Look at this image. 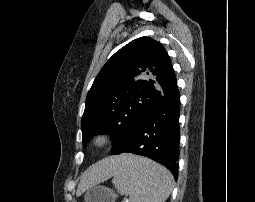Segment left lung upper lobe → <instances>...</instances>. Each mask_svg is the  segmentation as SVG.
Masks as SVG:
<instances>
[{"mask_svg":"<svg viewBox=\"0 0 255 202\" xmlns=\"http://www.w3.org/2000/svg\"><path fill=\"white\" fill-rule=\"evenodd\" d=\"M178 89L161 43L137 38L117 51L95 78L81 120L83 142L111 131L112 154L127 145L147 114Z\"/></svg>","mask_w":255,"mask_h":202,"instance_id":"obj_1","label":"left lung upper lobe"}]
</instances>
